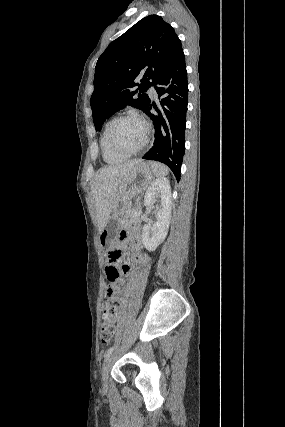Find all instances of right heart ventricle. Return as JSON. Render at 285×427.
<instances>
[{"label": "right heart ventricle", "mask_w": 285, "mask_h": 427, "mask_svg": "<svg viewBox=\"0 0 285 427\" xmlns=\"http://www.w3.org/2000/svg\"><path fill=\"white\" fill-rule=\"evenodd\" d=\"M112 121L113 119L109 120L102 130L100 136V147L104 161L109 164H117L125 161L129 156L115 152L109 145L108 130Z\"/></svg>", "instance_id": "right-heart-ventricle-1"}]
</instances>
